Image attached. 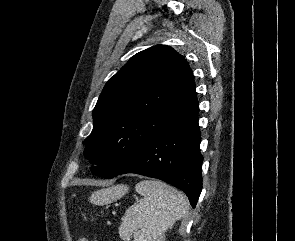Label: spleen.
<instances>
[{
	"instance_id": "3e777b00",
	"label": "spleen",
	"mask_w": 295,
	"mask_h": 241,
	"mask_svg": "<svg viewBox=\"0 0 295 241\" xmlns=\"http://www.w3.org/2000/svg\"><path fill=\"white\" fill-rule=\"evenodd\" d=\"M142 199L130 206L121 218L119 236L124 241H158L178 220L188 214V200L179 191L159 180H142L135 186Z\"/></svg>"
}]
</instances>
